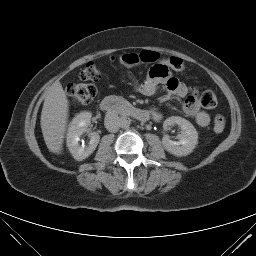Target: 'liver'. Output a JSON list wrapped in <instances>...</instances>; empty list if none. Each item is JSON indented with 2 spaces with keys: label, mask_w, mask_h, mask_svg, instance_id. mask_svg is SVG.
<instances>
[{
  "label": "liver",
  "mask_w": 256,
  "mask_h": 256,
  "mask_svg": "<svg viewBox=\"0 0 256 256\" xmlns=\"http://www.w3.org/2000/svg\"><path fill=\"white\" fill-rule=\"evenodd\" d=\"M69 102L59 81L50 87L41 112V130L50 152L61 154L67 128Z\"/></svg>",
  "instance_id": "6515ba94"
}]
</instances>
